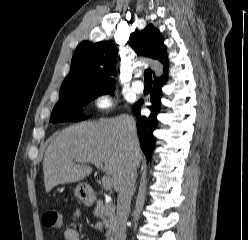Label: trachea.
Listing matches in <instances>:
<instances>
[{
    "label": "trachea",
    "instance_id": "3493384b",
    "mask_svg": "<svg viewBox=\"0 0 248 240\" xmlns=\"http://www.w3.org/2000/svg\"><path fill=\"white\" fill-rule=\"evenodd\" d=\"M144 81H145V84H151L152 85V74H151L150 69L145 70Z\"/></svg>",
    "mask_w": 248,
    "mask_h": 240
}]
</instances>
